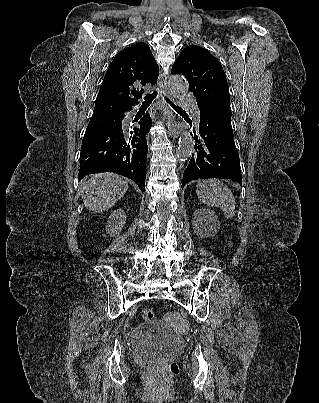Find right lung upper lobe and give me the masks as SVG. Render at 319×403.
I'll use <instances>...</instances> for the list:
<instances>
[{
  "mask_svg": "<svg viewBox=\"0 0 319 403\" xmlns=\"http://www.w3.org/2000/svg\"><path fill=\"white\" fill-rule=\"evenodd\" d=\"M159 67L146 43H136L118 53L110 64L95 102L105 112L122 111L137 104L143 90L134 86L155 84Z\"/></svg>",
  "mask_w": 319,
  "mask_h": 403,
  "instance_id": "right-lung-upper-lobe-1",
  "label": "right lung upper lobe"
}]
</instances>
